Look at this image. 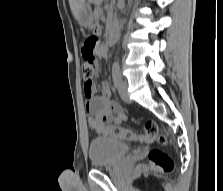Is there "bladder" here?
I'll return each mask as SVG.
<instances>
[{"mask_svg": "<svg viewBox=\"0 0 223 191\" xmlns=\"http://www.w3.org/2000/svg\"><path fill=\"white\" fill-rule=\"evenodd\" d=\"M129 151L130 145L115 137H96L91 140L88 147L90 163L96 168L119 163Z\"/></svg>", "mask_w": 223, "mask_h": 191, "instance_id": "31cf9c89", "label": "bladder"}]
</instances>
